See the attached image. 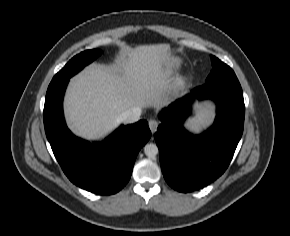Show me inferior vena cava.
<instances>
[{
	"mask_svg": "<svg viewBox=\"0 0 290 236\" xmlns=\"http://www.w3.org/2000/svg\"><path fill=\"white\" fill-rule=\"evenodd\" d=\"M140 115L141 109L139 107H132L120 115V121L124 123H134L139 119Z\"/></svg>",
	"mask_w": 290,
	"mask_h": 236,
	"instance_id": "602c4592",
	"label": "inferior vena cava"
}]
</instances>
